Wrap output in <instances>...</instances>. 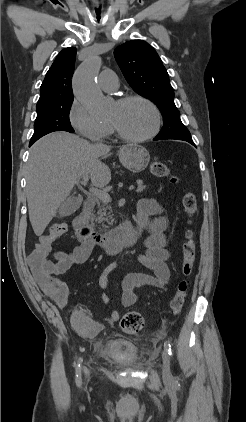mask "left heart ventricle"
<instances>
[{"instance_id":"obj_1","label":"left heart ventricle","mask_w":246,"mask_h":422,"mask_svg":"<svg viewBox=\"0 0 246 422\" xmlns=\"http://www.w3.org/2000/svg\"><path fill=\"white\" fill-rule=\"evenodd\" d=\"M108 121L129 135L142 136L152 129L155 117L151 108L142 102H130L125 105L115 103L110 110Z\"/></svg>"}]
</instances>
